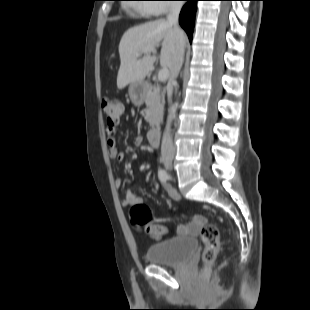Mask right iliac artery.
<instances>
[{"instance_id":"82829eb1","label":"right iliac artery","mask_w":310,"mask_h":310,"mask_svg":"<svg viewBox=\"0 0 310 310\" xmlns=\"http://www.w3.org/2000/svg\"><path fill=\"white\" fill-rule=\"evenodd\" d=\"M158 177L161 182H166L169 179V175L164 169H159L158 171Z\"/></svg>"}]
</instances>
